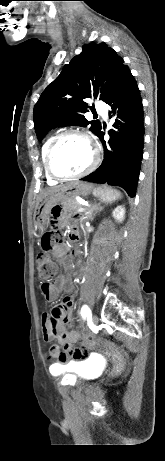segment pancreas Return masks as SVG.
Here are the masks:
<instances>
[{
    "mask_svg": "<svg viewBox=\"0 0 165 461\" xmlns=\"http://www.w3.org/2000/svg\"><path fill=\"white\" fill-rule=\"evenodd\" d=\"M81 205L74 198H66L62 202V208L65 212L75 213Z\"/></svg>",
    "mask_w": 165,
    "mask_h": 461,
    "instance_id": "obj_1",
    "label": "pancreas"
}]
</instances>
